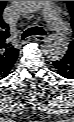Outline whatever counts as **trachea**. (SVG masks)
Returning a JSON list of instances; mask_svg holds the SVG:
<instances>
[{
	"instance_id": "3493384b",
	"label": "trachea",
	"mask_w": 74,
	"mask_h": 122,
	"mask_svg": "<svg viewBox=\"0 0 74 122\" xmlns=\"http://www.w3.org/2000/svg\"><path fill=\"white\" fill-rule=\"evenodd\" d=\"M33 35H46L45 30L42 27H30L27 30H25L21 36V39H25L29 36H33Z\"/></svg>"
}]
</instances>
